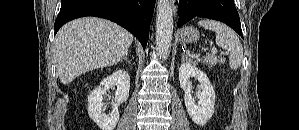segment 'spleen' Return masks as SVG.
<instances>
[{
  "mask_svg": "<svg viewBox=\"0 0 299 130\" xmlns=\"http://www.w3.org/2000/svg\"><path fill=\"white\" fill-rule=\"evenodd\" d=\"M198 25L216 33V44L230 52V68L232 70L239 68L243 60V47L237 34L225 24L214 20H200Z\"/></svg>",
  "mask_w": 299,
  "mask_h": 130,
  "instance_id": "3e777b00",
  "label": "spleen"
}]
</instances>
